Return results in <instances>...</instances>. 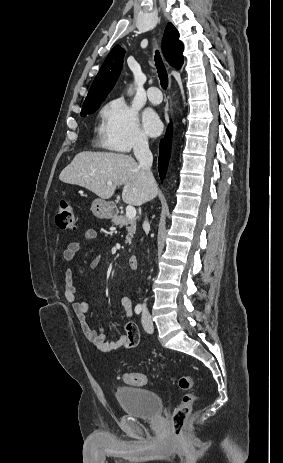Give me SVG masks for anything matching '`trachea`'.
<instances>
[{
    "instance_id": "trachea-1",
    "label": "trachea",
    "mask_w": 283,
    "mask_h": 463,
    "mask_svg": "<svg viewBox=\"0 0 283 463\" xmlns=\"http://www.w3.org/2000/svg\"><path fill=\"white\" fill-rule=\"evenodd\" d=\"M155 65L158 71V76L160 79V84L161 87L166 90L168 86V76H167V71L165 69V66L163 65L161 56L158 51H156L155 54Z\"/></svg>"
}]
</instances>
